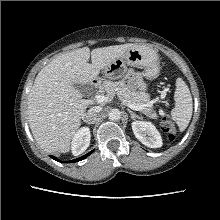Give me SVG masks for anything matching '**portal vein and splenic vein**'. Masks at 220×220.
<instances>
[{
	"label": "portal vein and splenic vein",
	"instance_id": "1",
	"mask_svg": "<svg viewBox=\"0 0 220 220\" xmlns=\"http://www.w3.org/2000/svg\"><path fill=\"white\" fill-rule=\"evenodd\" d=\"M94 99L96 100L97 103H103V102L108 101L109 98L102 94H98V95H95ZM154 102L155 101H150L144 105H135V104L129 103L127 106L131 108L132 110L141 111V110H144L146 107L152 106Z\"/></svg>",
	"mask_w": 220,
	"mask_h": 220
}]
</instances>
